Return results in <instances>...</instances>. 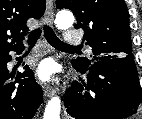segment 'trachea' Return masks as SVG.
<instances>
[{"label":"trachea","instance_id":"1","mask_svg":"<svg viewBox=\"0 0 142 119\" xmlns=\"http://www.w3.org/2000/svg\"><path fill=\"white\" fill-rule=\"evenodd\" d=\"M44 35L46 40L49 42L50 45H52L55 48H61V49H80L78 46H71L67 45L64 42H62L54 33V31L47 25L43 26ZM41 30L36 29L33 30L29 37H28V43L29 46L32 47L36 43L37 39L40 37Z\"/></svg>","mask_w":142,"mask_h":119}]
</instances>
